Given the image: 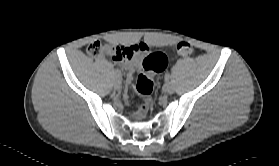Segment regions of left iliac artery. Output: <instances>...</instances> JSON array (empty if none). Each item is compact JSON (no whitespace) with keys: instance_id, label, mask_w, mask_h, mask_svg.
Instances as JSON below:
<instances>
[{"instance_id":"obj_1","label":"left iliac artery","mask_w":279,"mask_h":166,"mask_svg":"<svg viewBox=\"0 0 279 166\" xmlns=\"http://www.w3.org/2000/svg\"><path fill=\"white\" fill-rule=\"evenodd\" d=\"M169 79H170V74H168V73H167V74H165V80H167V81H168Z\"/></svg>"}]
</instances>
